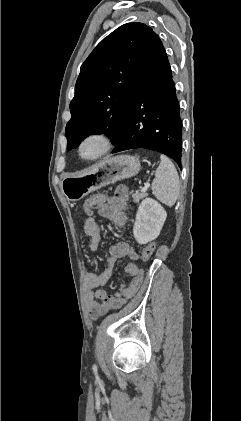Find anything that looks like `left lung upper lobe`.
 Returning <instances> with one entry per match:
<instances>
[{"label": "left lung upper lobe", "instance_id": "5c2ea615", "mask_svg": "<svg viewBox=\"0 0 241 421\" xmlns=\"http://www.w3.org/2000/svg\"><path fill=\"white\" fill-rule=\"evenodd\" d=\"M158 35L127 23L104 38L82 64L66 125L67 150L104 132L114 144L124 132L135 90Z\"/></svg>", "mask_w": 241, "mask_h": 421}]
</instances>
